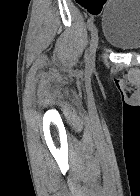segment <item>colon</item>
Segmentation results:
<instances>
[{
  "label": "colon",
  "mask_w": 140,
  "mask_h": 196,
  "mask_svg": "<svg viewBox=\"0 0 140 196\" xmlns=\"http://www.w3.org/2000/svg\"><path fill=\"white\" fill-rule=\"evenodd\" d=\"M78 2H80V3H83V2H85V1H83V0H77Z\"/></svg>",
  "instance_id": "1"
}]
</instances>
